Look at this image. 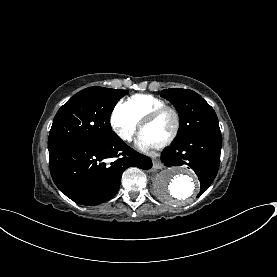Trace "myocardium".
<instances>
[{
    "mask_svg": "<svg viewBox=\"0 0 277 277\" xmlns=\"http://www.w3.org/2000/svg\"><path fill=\"white\" fill-rule=\"evenodd\" d=\"M166 112H170L173 115L174 127L170 135L165 140H163L161 143L158 144L159 147H164L170 144L178 135L180 126H181V118H180L179 112L171 106H168V105L161 106L147 112V114L143 117V119L140 122V130L142 131L144 127L153 123L155 120H157L161 115H163Z\"/></svg>",
    "mask_w": 277,
    "mask_h": 277,
    "instance_id": "1",
    "label": "myocardium"
}]
</instances>
